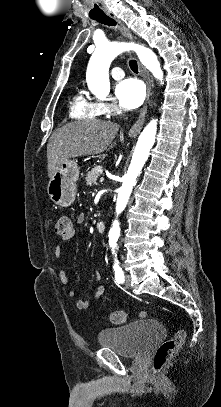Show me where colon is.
<instances>
[{"instance_id": "5ec220e1", "label": "colon", "mask_w": 221, "mask_h": 407, "mask_svg": "<svg viewBox=\"0 0 221 407\" xmlns=\"http://www.w3.org/2000/svg\"><path fill=\"white\" fill-rule=\"evenodd\" d=\"M56 234L62 237L67 236L71 232V221L67 216H61L56 222L55 226ZM145 314L142 313V316ZM107 319L114 324H124L127 320V314L125 311L113 310L107 314ZM185 340V332L182 329L176 331V333L166 341H164L157 349L154 367L157 372L162 371L169 364L170 360L176 355L179 348L182 346Z\"/></svg>"}]
</instances>
